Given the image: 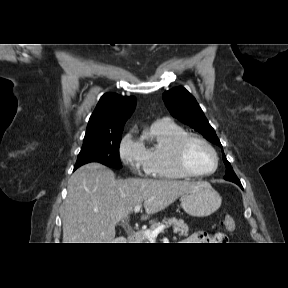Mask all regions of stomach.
I'll return each instance as SVG.
<instances>
[{
    "label": "stomach",
    "mask_w": 288,
    "mask_h": 288,
    "mask_svg": "<svg viewBox=\"0 0 288 288\" xmlns=\"http://www.w3.org/2000/svg\"><path fill=\"white\" fill-rule=\"evenodd\" d=\"M222 199L208 182H197L181 198L184 211L194 217H206L217 211Z\"/></svg>",
    "instance_id": "stomach-1"
}]
</instances>
